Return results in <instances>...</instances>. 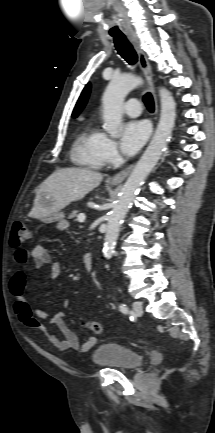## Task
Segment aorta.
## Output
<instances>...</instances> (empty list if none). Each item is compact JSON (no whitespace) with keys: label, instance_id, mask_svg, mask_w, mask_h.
Here are the masks:
<instances>
[{"label":"aorta","instance_id":"aorta-1","mask_svg":"<svg viewBox=\"0 0 215 433\" xmlns=\"http://www.w3.org/2000/svg\"><path fill=\"white\" fill-rule=\"evenodd\" d=\"M140 84L142 79L130 74L114 77L108 84L102 98V106L105 131L111 137L120 136L124 99ZM159 96L161 113L155 135L123 186L108 218L104 243V255L108 259L115 252L121 223L137 191L160 159L174 127L176 105L173 96L164 88L159 89Z\"/></svg>","mask_w":215,"mask_h":433}]
</instances>
